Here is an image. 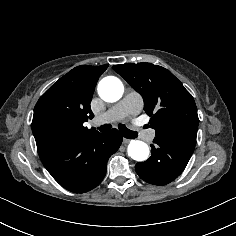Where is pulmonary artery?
<instances>
[{
	"mask_svg": "<svg viewBox=\"0 0 236 236\" xmlns=\"http://www.w3.org/2000/svg\"><path fill=\"white\" fill-rule=\"evenodd\" d=\"M112 113L115 114V117H116L117 121L123 119L126 116V114L122 112L121 105H119L116 108H114L112 110ZM154 136H155V131H153L152 137H154Z\"/></svg>",
	"mask_w": 236,
	"mask_h": 236,
	"instance_id": "e3ab8cb5",
	"label": "pulmonary artery"
}]
</instances>
